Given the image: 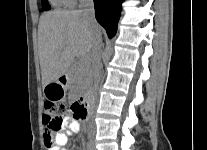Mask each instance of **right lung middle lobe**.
Here are the masks:
<instances>
[{
    "mask_svg": "<svg viewBox=\"0 0 207 150\" xmlns=\"http://www.w3.org/2000/svg\"><path fill=\"white\" fill-rule=\"evenodd\" d=\"M42 8L44 10H50L51 6L49 5L47 0H42Z\"/></svg>",
    "mask_w": 207,
    "mask_h": 150,
    "instance_id": "obj_1",
    "label": "right lung middle lobe"
}]
</instances>
